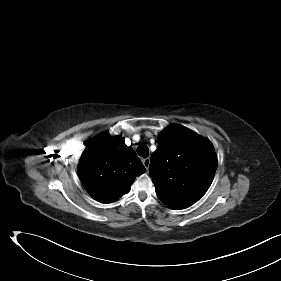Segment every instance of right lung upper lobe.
I'll return each instance as SVG.
<instances>
[{"mask_svg": "<svg viewBox=\"0 0 281 281\" xmlns=\"http://www.w3.org/2000/svg\"><path fill=\"white\" fill-rule=\"evenodd\" d=\"M146 171L121 136L104 132L87 144L78 173L86 190L99 202L111 203L128 193L136 176Z\"/></svg>", "mask_w": 281, "mask_h": 281, "instance_id": "right-lung-upper-lobe-1", "label": "right lung upper lobe"}]
</instances>
